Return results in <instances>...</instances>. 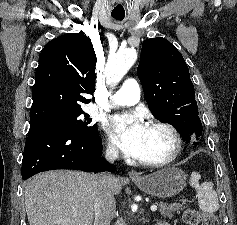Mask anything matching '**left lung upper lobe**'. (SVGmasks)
Masks as SVG:
<instances>
[{"instance_id": "1", "label": "left lung upper lobe", "mask_w": 237, "mask_h": 225, "mask_svg": "<svg viewBox=\"0 0 237 225\" xmlns=\"http://www.w3.org/2000/svg\"><path fill=\"white\" fill-rule=\"evenodd\" d=\"M137 74L155 118L172 124L180 134L199 118L188 66L168 40L143 42Z\"/></svg>"}]
</instances>
